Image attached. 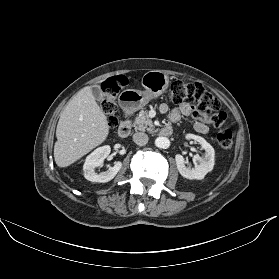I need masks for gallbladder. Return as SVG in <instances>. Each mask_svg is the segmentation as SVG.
<instances>
[{
  "instance_id": "1",
  "label": "gallbladder",
  "mask_w": 279,
  "mask_h": 279,
  "mask_svg": "<svg viewBox=\"0 0 279 279\" xmlns=\"http://www.w3.org/2000/svg\"><path fill=\"white\" fill-rule=\"evenodd\" d=\"M91 91H92V94L94 96V98L98 101V102H101L104 98V94L100 88V86L98 85H94L92 86L91 88Z\"/></svg>"
}]
</instances>
